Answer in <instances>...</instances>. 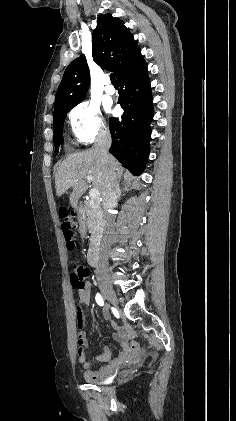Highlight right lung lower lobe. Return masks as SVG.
<instances>
[{"label": "right lung lower lobe", "mask_w": 236, "mask_h": 421, "mask_svg": "<svg viewBox=\"0 0 236 421\" xmlns=\"http://www.w3.org/2000/svg\"><path fill=\"white\" fill-rule=\"evenodd\" d=\"M118 104L125 110L121 120L110 118L112 145L109 152L133 175L143 171L149 154L152 121V95L147 64L142 55L116 75Z\"/></svg>", "instance_id": "1"}]
</instances>
